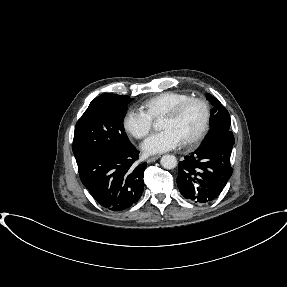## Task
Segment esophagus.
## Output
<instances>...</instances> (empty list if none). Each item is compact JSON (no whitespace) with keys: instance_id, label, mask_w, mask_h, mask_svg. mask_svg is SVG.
I'll use <instances>...</instances> for the list:
<instances>
[{"instance_id":"esophagus-1","label":"esophagus","mask_w":287,"mask_h":287,"mask_svg":"<svg viewBox=\"0 0 287 287\" xmlns=\"http://www.w3.org/2000/svg\"><path fill=\"white\" fill-rule=\"evenodd\" d=\"M159 158H160V155L151 156V157L147 158V162L151 163V162L156 161Z\"/></svg>"}]
</instances>
